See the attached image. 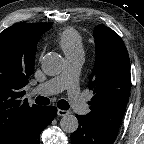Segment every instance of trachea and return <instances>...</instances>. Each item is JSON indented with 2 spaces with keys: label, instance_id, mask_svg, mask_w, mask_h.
Listing matches in <instances>:
<instances>
[{
  "label": "trachea",
  "instance_id": "trachea-1",
  "mask_svg": "<svg viewBox=\"0 0 144 144\" xmlns=\"http://www.w3.org/2000/svg\"><path fill=\"white\" fill-rule=\"evenodd\" d=\"M36 104L39 105H48L50 103V100L46 97L43 96H38L35 99ZM58 108H60L61 110H68L69 109V103L66 100H59L57 103Z\"/></svg>",
  "mask_w": 144,
  "mask_h": 144
}]
</instances>
